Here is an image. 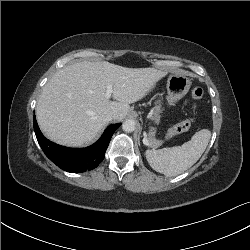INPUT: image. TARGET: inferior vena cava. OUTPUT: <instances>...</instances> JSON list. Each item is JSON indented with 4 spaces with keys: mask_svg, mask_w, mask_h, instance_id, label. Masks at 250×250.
<instances>
[{
    "mask_svg": "<svg viewBox=\"0 0 250 250\" xmlns=\"http://www.w3.org/2000/svg\"><path fill=\"white\" fill-rule=\"evenodd\" d=\"M116 117V114H115V112H113V111H110L109 113H107V115H106V118H107V120H109V121H111L112 119H114Z\"/></svg>",
    "mask_w": 250,
    "mask_h": 250,
    "instance_id": "inferior-vena-cava-1",
    "label": "inferior vena cava"
}]
</instances>
